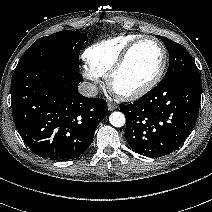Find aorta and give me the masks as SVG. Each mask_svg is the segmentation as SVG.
<instances>
[{
    "mask_svg": "<svg viewBox=\"0 0 212 212\" xmlns=\"http://www.w3.org/2000/svg\"><path fill=\"white\" fill-rule=\"evenodd\" d=\"M125 116L122 112L115 111L110 114L109 122L114 127H122L125 124Z\"/></svg>",
    "mask_w": 212,
    "mask_h": 212,
    "instance_id": "762f6f07",
    "label": "aorta"
}]
</instances>
